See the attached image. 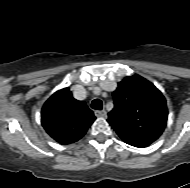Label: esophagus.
Masks as SVG:
<instances>
[{"mask_svg": "<svg viewBox=\"0 0 190 188\" xmlns=\"http://www.w3.org/2000/svg\"><path fill=\"white\" fill-rule=\"evenodd\" d=\"M107 113L105 110H96L95 111V116L96 117H106Z\"/></svg>", "mask_w": 190, "mask_h": 188, "instance_id": "34e87169", "label": "esophagus"}]
</instances>
